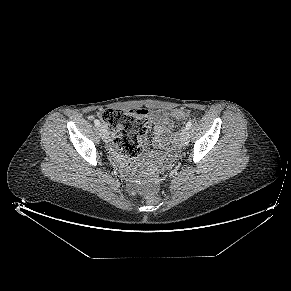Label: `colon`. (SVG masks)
I'll return each mask as SVG.
<instances>
[{
	"instance_id": "colon-1",
	"label": "colon",
	"mask_w": 291,
	"mask_h": 291,
	"mask_svg": "<svg viewBox=\"0 0 291 291\" xmlns=\"http://www.w3.org/2000/svg\"><path fill=\"white\" fill-rule=\"evenodd\" d=\"M169 116L175 120H183L187 113L182 109H175ZM148 112L144 109L122 111L108 109L102 114L103 123L107 126L113 136L114 144L121 153L128 158L136 159L142 153V145L139 136L146 130ZM149 203H155L159 194L154 186L145 192Z\"/></svg>"
}]
</instances>
